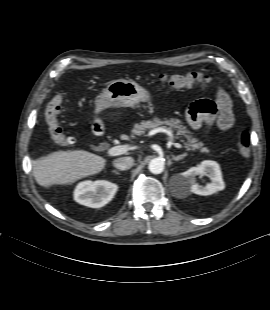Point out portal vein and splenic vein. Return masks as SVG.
<instances>
[{
    "label": "portal vein and splenic vein",
    "instance_id": "18ae733b",
    "mask_svg": "<svg viewBox=\"0 0 270 310\" xmlns=\"http://www.w3.org/2000/svg\"><path fill=\"white\" fill-rule=\"evenodd\" d=\"M162 131V132H167L170 136L171 132L167 131L165 129H158L157 132ZM176 148H183V146L180 143H172ZM129 147L127 145H119V146H114L111 147L107 150V154L109 156H118L121 154H124L128 151Z\"/></svg>",
    "mask_w": 270,
    "mask_h": 310
}]
</instances>
